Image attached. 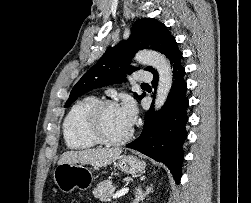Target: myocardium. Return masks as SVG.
<instances>
[{"label": "myocardium", "instance_id": "myocardium-1", "mask_svg": "<svg viewBox=\"0 0 251 203\" xmlns=\"http://www.w3.org/2000/svg\"><path fill=\"white\" fill-rule=\"evenodd\" d=\"M112 106H118L113 100L98 101L89 111L86 120L87 133L98 143L107 146H117L128 142L133 136V129L118 139H112L105 135L102 129V116L106 109Z\"/></svg>", "mask_w": 251, "mask_h": 203}]
</instances>
